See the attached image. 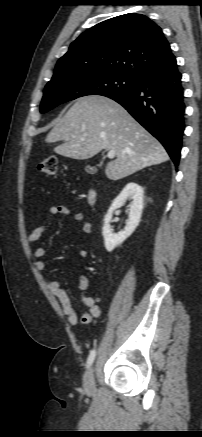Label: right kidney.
Returning a JSON list of instances; mask_svg holds the SVG:
<instances>
[{"mask_svg": "<svg viewBox=\"0 0 202 437\" xmlns=\"http://www.w3.org/2000/svg\"><path fill=\"white\" fill-rule=\"evenodd\" d=\"M127 199L132 202L129 205V218L123 231L114 234L111 229V219L113 211L122 207ZM144 190L137 183L130 182L121 193L114 199L104 219L102 235L107 251L111 252L118 245L122 244L137 228L140 223L143 210Z\"/></svg>", "mask_w": 202, "mask_h": 437, "instance_id": "1", "label": "right kidney"}]
</instances>
